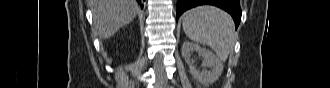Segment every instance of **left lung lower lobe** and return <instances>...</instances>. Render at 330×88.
Listing matches in <instances>:
<instances>
[{
    "mask_svg": "<svg viewBox=\"0 0 330 88\" xmlns=\"http://www.w3.org/2000/svg\"><path fill=\"white\" fill-rule=\"evenodd\" d=\"M203 4L214 5L227 11L233 17L237 29L242 14L240 0H177L176 19L178 20L184 11Z\"/></svg>",
    "mask_w": 330,
    "mask_h": 88,
    "instance_id": "obj_1",
    "label": "left lung lower lobe"
}]
</instances>
